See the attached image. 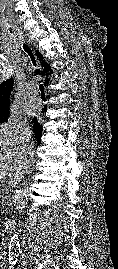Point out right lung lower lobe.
<instances>
[{
    "instance_id": "right-lung-lower-lobe-1",
    "label": "right lung lower lobe",
    "mask_w": 118,
    "mask_h": 269,
    "mask_svg": "<svg viewBox=\"0 0 118 269\" xmlns=\"http://www.w3.org/2000/svg\"><path fill=\"white\" fill-rule=\"evenodd\" d=\"M34 133H35V136H36V138H37V140H38V144H39V143H40L41 134H37V133L35 132V130H34Z\"/></svg>"
}]
</instances>
